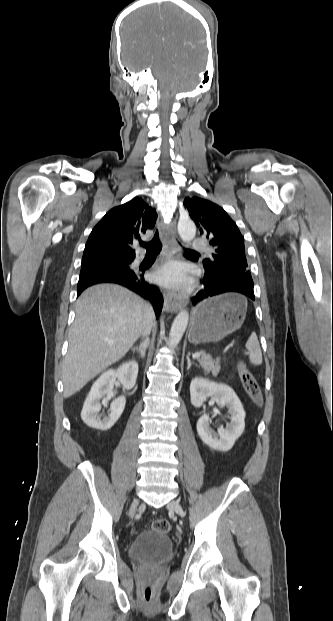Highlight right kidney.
I'll return each instance as SVG.
<instances>
[{
  "label": "right kidney",
  "mask_w": 333,
  "mask_h": 621,
  "mask_svg": "<svg viewBox=\"0 0 333 621\" xmlns=\"http://www.w3.org/2000/svg\"><path fill=\"white\" fill-rule=\"evenodd\" d=\"M137 375L138 363L134 360L123 363L116 370L110 369L104 372L91 387L83 404L81 412L83 422L91 428L102 431L109 430L123 413L126 399L124 396L115 399L110 405L109 414L105 416L99 414L101 400L113 390L116 379L125 389H131L136 383Z\"/></svg>",
  "instance_id": "ca27d5eb"
}]
</instances>
